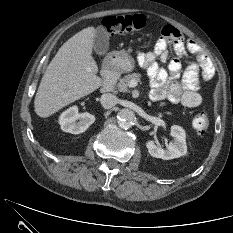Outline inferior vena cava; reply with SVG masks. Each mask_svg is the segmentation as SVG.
<instances>
[{
  "instance_id": "1",
  "label": "inferior vena cava",
  "mask_w": 233,
  "mask_h": 233,
  "mask_svg": "<svg viewBox=\"0 0 233 233\" xmlns=\"http://www.w3.org/2000/svg\"><path fill=\"white\" fill-rule=\"evenodd\" d=\"M100 102L105 109H111L118 103V99L115 95L106 93L101 96Z\"/></svg>"
}]
</instances>
